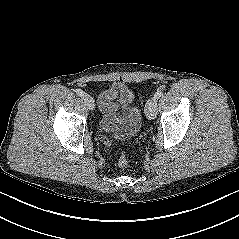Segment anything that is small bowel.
<instances>
[{
    "label": "small bowel",
    "instance_id": "small-bowel-1",
    "mask_svg": "<svg viewBox=\"0 0 239 239\" xmlns=\"http://www.w3.org/2000/svg\"><path fill=\"white\" fill-rule=\"evenodd\" d=\"M117 90L114 87L107 88L103 90L99 96V108L103 114L101 119V126L104 130H109L113 115L118 109V104L116 103Z\"/></svg>",
    "mask_w": 239,
    "mask_h": 239
}]
</instances>
